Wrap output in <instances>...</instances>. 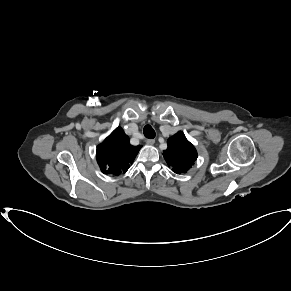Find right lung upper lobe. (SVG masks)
Here are the masks:
<instances>
[{"instance_id": "obj_1", "label": "right lung upper lobe", "mask_w": 291, "mask_h": 291, "mask_svg": "<svg viewBox=\"0 0 291 291\" xmlns=\"http://www.w3.org/2000/svg\"><path fill=\"white\" fill-rule=\"evenodd\" d=\"M141 146H132L122 128H116L97 147V163L103 173L118 176L133 163Z\"/></svg>"}]
</instances>
